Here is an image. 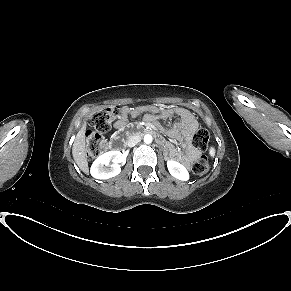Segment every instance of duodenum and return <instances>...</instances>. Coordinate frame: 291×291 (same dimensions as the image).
Here are the masks:
<instances>
[{
	"mask_svg": "<svg viewBox=\"0 0 291 291\" xmlns=\"http://www.w3.org/2000/svg\"><path fill=\"white\" fill-rule=\"evenodd\" d=\"M139 132L154 134L153 138L155 140H158V142H161L162 144H165L167 142V138L165 136H162L160 133H155L154 131L147 129L145 125H140L139 123H136L134 125L128 124L123 129H121L119 133H116L112 136V141L109 144L110 151L113 153L120 152L123 147L122 138H124V136Z\"/></svg>",
	"mask_w": 291,
	"mask_h": 291,
	"instance_id": "1",
	"label": "duodenum"
}]
</instances>
